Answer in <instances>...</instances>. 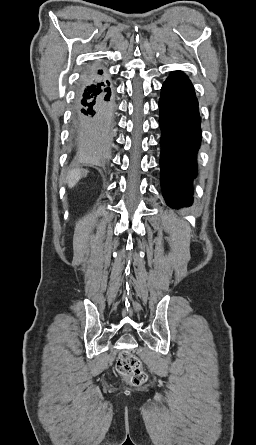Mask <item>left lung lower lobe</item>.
<instances>
[{
    "instance_id": "1",
    "label": "left lung lower lobe",
    "mask_w": 256,
    "mask_h": 445,
    "mask_svg": "<svg viewBox=\"0 0 256 445\" xmlns=\"http://www.w3.org/2000/svg\"><path fill=\"white\" fill-rule=\"evenodd\" d=\"M159 109L161 188L166 203L178 208L193 200L201 143L198 101L191 81L181 71H173L164 82Z\"/></svg>"
}]
</instances>
